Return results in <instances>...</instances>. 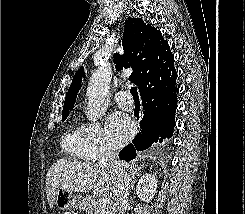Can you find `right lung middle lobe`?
<instances>
[{"mask_svg":"<svg viewBox=\"0 0 245 214\" xmlns=\"http://www.w3.org/2000/svg\"><path fill=\"white\" fill-rule=\"evenodd\" d=\"M68 114H62V121H64L67 118Z\"/></svg>","mask_w":245,"mask_h":214,"instance_id":"dd1d6c3e","label":"right lung middle lobe"}]
</instances>
